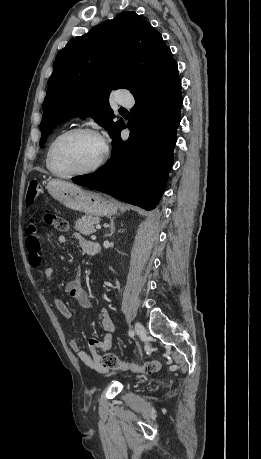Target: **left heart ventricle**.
I'll return each mask as SVG.
<instances>
[{"label": "left heart ventricle", "mask_w": 261, "mask_h": 459, "mask_svg": "<svg viewBox=\"0 0 261 459\" xmlns=\"http://www.w3.org/2000/svg\"><path fill=\"white\" fill-rule=\"evenodd\" d=\"M102 149L100 140L91 135L68 136L56 146L53 154V166L62 173L86 169L98 160Z\"/></svg>", "instance_id": "1"}]
</instances>
